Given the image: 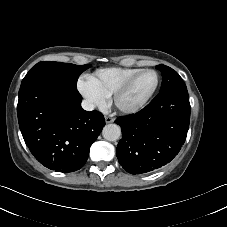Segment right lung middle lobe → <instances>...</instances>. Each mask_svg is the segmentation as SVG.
Returning <instances> with one entry per match:
<instances>
[{
  "label": "right lung middle lobe",
  "mask_w": 227,
  "mask_h": 227,
  "mask_svg": "<svg viewBox=\"0 0 227 227\" xmlns=\"http://www.w3.org/2000/svg\"><path fill=\"white\" fill-rule=\"evenodd\" d=\"M89 67H91L90 64L74 65L71 63L42 61L31 68L22 80L21 86L37 78H49L76 88L79 75Z\"/></svg>",
  "instance_id": "right-lung-middle-lobe-1"
}]
</instances>
